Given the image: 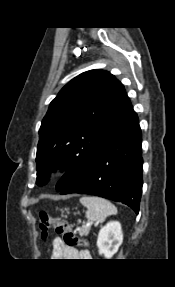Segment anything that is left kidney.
Masks as SVG:
<instances>
[{
	"instance_id": "left-kidney-1",
	"label": "left kidney",
	"mask_w": 175,
	"mask_h": 287,
	"mask_svg": "<svg viewBox=\"0 0 175 287\" xmlns=\"http://www.w3.org/2000/svg\"><path fill=\"white\" fill-rule=\"evenodd\" d=\"M123 242L121 224L118 221L108 222L101 228L97 238L99 254L111 258Z\"/></svg>"
}]
</instances>
